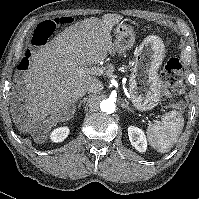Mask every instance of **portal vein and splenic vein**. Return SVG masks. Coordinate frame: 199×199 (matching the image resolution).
<instances>
[{
    "label": "portal vein and splenic vein",
    "mask_w": 199,
    "mask_h": 199,
    "mask_svg": "<svg viewBox=\"0 0 199 199\" xmlns=\"http://www.w3.org/2000/svg\"><path fill=\"white\" fill-rule=\"evenodd\" d=\"M90 69V72L96 75H100L102 73V69L96 66H92Z\"/></svg>",
    "instance_id": "obj_1"
}]
</instances>
